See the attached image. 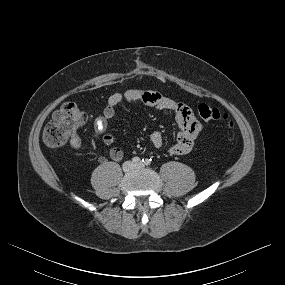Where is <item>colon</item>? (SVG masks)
Returning a JSON list of instances; mask_svg holds the SVG:
<instances>
[{
    "label": "colon",
    "instance_id": "1",
    "mask_svg": "<svg viewBox=\"0 0 285 285\" xmlns=\"http://www.w3.org/2000/svg\"><path fill=\"white\" fill-rule=\"evenodd\" d=\"M198 115L203 121H225L229 128L234 123L227 113L207 104L198 107ZM86 114L73 102H66L53 114L52 120L43 130V141L50 147L65 144L85 123Z\"/></svg>",
    "mask_w": 285,
    "mask_h": 285
}]
</instances>
